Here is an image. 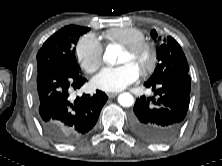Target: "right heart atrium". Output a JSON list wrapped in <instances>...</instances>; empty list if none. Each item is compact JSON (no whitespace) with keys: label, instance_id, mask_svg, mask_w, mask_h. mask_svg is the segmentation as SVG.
Segmentation results:
<instances>
[{"label":"right heart atrium","instance_id":"right-heart-atrium-1","mask_svg":"<svg viewBox=\"0 0 222 166\" xmlns=\"http://www.w3.org/2000/svg\"><path fill=\"white\" fill-rule=\"evenodd\" d=\"M75 57L85 72L93 73L102 65L103 46L95 35L86 34L75 47Z\"/></svg>","mask_w":222,"mask_h":166}]
</instances>
